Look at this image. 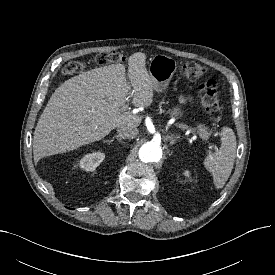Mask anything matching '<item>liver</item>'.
Listing matches in <instances>:
<instances>
[{"label": "liver", "mask_w": 275, "mask_h": 275, "mask_svg": "<svg viewBox=\"0 0 275 275\" xmlns=\"http://www.w3.org/2000/svg\"><path fill=\"white\" fill-rule=\"evenodd\" d=\"M128 64L130 84L125 66L113 64L83 72L55 90L35 128L36 162L98 141L121 125H140L141 117L122 107L128 99L136 107H149L153 82L146 69L145 53L132 54Z\"/></svg>", "instance_id": "obj_1"}]
</instances>
